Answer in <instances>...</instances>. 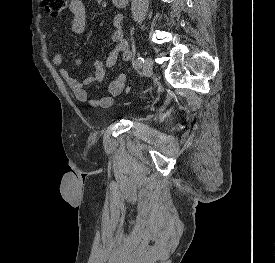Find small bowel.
<instances>
[{"label":"small bowel","instance_id":"c3829d8e","mask_svg":"<svg viewBox=\"0 0 275 263\" xmlns=\"http://www.w3.org/2000/svg\"><path fill=\"white\" fill-rule=\"evenodd\" d=\"M69 17L65 20V24L69 29L77 35L85 32L87 23V8L82 0H71L69 4ZM114 31L110 36V40L114 43L113 49L108 54L105 62L99 59L90 57L87 54L78 56L74 65L80 67L85 58H88L94 69L91 76L86 77L83 81L74 78L70 72L61 67L63 57L60 52H55L52 56V63L59 67V75L67 83L72 91L74 98L80 102H88L90 106L96 108H109L112 106L114 98L119 96L125 86L127 74L131 71V63L133 59L132 52L130 51L128 41L124 38L123 22L121 15H116L113 20ZM118 58H121L125 64L124 72L117 78L109 83L107 96L101 98H88L85 90L86 85L100 83L106 76L108 69L115 66Z\"/></svg>","mask_w":275,"mask_h":263}]
</instances>
